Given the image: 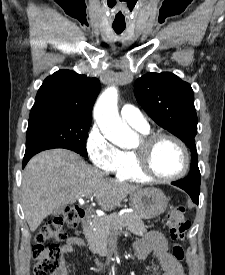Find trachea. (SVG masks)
<instances>
[{
  "mask_svg": "<svg viewBox=\"0 0 225 275\" xmlns=\"http://www.w3.org/2000/svg\"><path fill=\"white\" fill-rule=\"evenodd\" d=\"M113 29L117 34H121L125 27H113Z\"/></svg>",
  "mask_w": 225,
  "mask_h": 275,
  "instance_id": "3493384b",
  "label": "trachea"
}]
</instances>
